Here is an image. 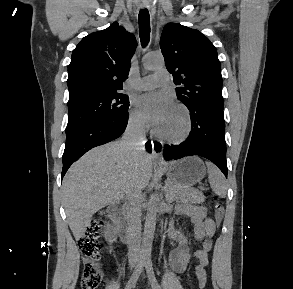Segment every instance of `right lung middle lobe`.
Instances as JSON below:
<instances>
[{
  "instance_id": "right-lung-middle-lobe-1",
  "label": "right lung middle lobe",
  "mask_w": 293,
  "mask_h": 289,
  "mask_svg": "<svg viewBox=\"0 0 293 289\" xmlns=\"http://www.w3.org/2000/svg\"><path fill=\"white\" fill-rule=\"evenodd\" d=\"M128 96L121 92L96 94L68 101L66 133L90 122L128 112Z\"/></svg>"
}]
</instances>
